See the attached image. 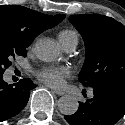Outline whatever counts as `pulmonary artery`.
<instances>
[{
    "mask_svg": "<svg viewBox=\"0 0 125 125\" xmlns=\"http://www.w3.org/2000/svg\"><path fill=\"white\" fill-rule=\"evenodd\" d=\"M78 44V38L72 39L63 45V48L67 52H72Z\"/></svg>",
    "mask_w": 125,
    "mask_h": 125,
    "instance_id": "e3ab8cb5",
    "label": "pulmonary artery"
}]
</instances>
